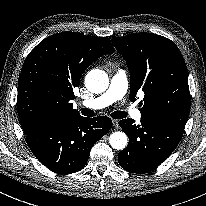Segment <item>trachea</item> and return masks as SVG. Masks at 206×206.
I'll use <instances>...</instances> for the list:
<instances>
[{
    "instance_id": "trachea-1",
    "label": "trachea",
    "mask_w": 206,
    "mask_h": 206,
    "mask_svg": "<svg viewBox=\"0 0 206 206\" xmlns=\"http://www.w3.org/2000/svg\"><path fill=\"white\" fill-rule=\"evenodd\" d=\"M82 115L87 116V117H93L94 116V111L88 108H83L81 110ZM110 116L114 119H123L127 116V114L124 111H115L110 114Z\"/></svg>"
}]
</instances>
